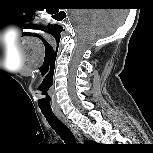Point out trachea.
Instances as JSON below:
<instances>
[{"label": "trachea", "instance_id": "obj_1", "mask_svg": "<svg viewBox=\"0 0 153 153\" xmlns=\"http://www.w3.org/2000/svg\"><path fill=\"white\" fill-rule=\"evenodd\" d=\"M50 126L65 142L74 143V136L67 126L54 113L42 112Z\"/></svg>", "mask_w": 153, "mask_h": 153}]
</instances>
